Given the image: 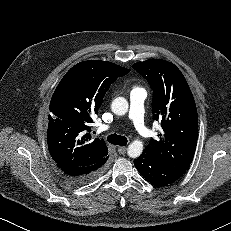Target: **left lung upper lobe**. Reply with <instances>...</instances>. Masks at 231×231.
Segmentation results:
<instances>
[{"mask_svg":"<svg viewBox=\"0 0 231 231\" xmlns=\"http://www.w3.org/2000/svg\"><path fill=\"white\" fill-rule=\"evenodd\" d=\"M153 90V119L163 129L159 140H151L143 153L161 163L188 168L193 160L197 138L196 104L181 71L161 59H149L132 66Z\"/></svg>","mask_w":231,"mask_h":231,"instance_id":"left-lung-upper-lobe-1","label":"left lung upper lobe"}]
</instances>
